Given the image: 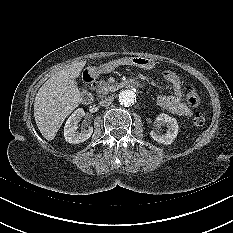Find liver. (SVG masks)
<instances>
[{"instance_id": "6515ba94", "label": "liver", "mask_w": 233, "mask_h": 233, "mask_svg": "<svg viewBox=\"0 0 233 233\" xmlns=\"http://www.w3.org/2000/svg\"><path fill=\"white\" fill-rule=\"evenodd\" d=\"M86 61L66 65L50 77L39 89L34 101V118L42 136L53 140L66 117L81 102L77 87L79 77Z\"/></svg>"}]
</instances>
